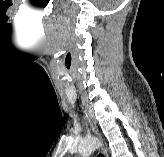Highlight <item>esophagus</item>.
Returning <instances> with one entry per match:
<instances>
[{"label":"esophagus","instance_id":"34e87169","mask_svg":"<svg viewBox=\"0 0 164 157\" xmlns=\"http://www.w3.org/2000/svg\"><path fill=\"white\" fill-rule=\"evenodd\" d=\"M82 109H83V112H84V115H85V118L90 126V129L92 130V132L94 134H96L100 140H101V135L96 127V123L94 122L93 118L91 117V115L88 113V111L86 109H84V107L82 106ZM101 150H102V153L104 155V157H107L108 154H107V149L104 147V145L102 144V147H101Z\"/></svg>","mask_w":164,"mask_h":157}]
</instances>
